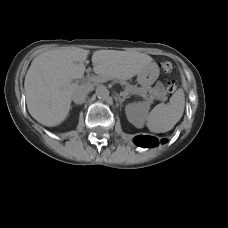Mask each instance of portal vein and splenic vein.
Segmentation results:
<instances>
[{
	"label": "portal vein and splenic vein",
	"instance_id": "1",
	"mask_svg": "<svg viewBox=\"0 0 228 228\" xmlns=\"http://www.w3.org/2000/svg\"><path fill=\"white\" fill-rule=\"evenodd\" d=\"M88 80L89 81H95V80H98V79L97 78L90 77ZM125 94H127V93H125ZM140 96L141 97H144V98H147V95L146 94H141Z\"/></svg>",
	"mask_w": 228,
	"mask_h": 228
}]
</instances>
